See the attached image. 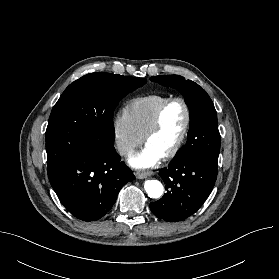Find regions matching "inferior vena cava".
Segmentation results:
<instances>
[{"mask_svg": "<svg viewBox=\"0 0 279 279\" xmlns=\"http://www.w3.org/2000/svg\"><path fill=\"white\" fill-rule=\"evenodd\" d=\"M117 150L121 155H130L134 152L128 144L121 141L117 142Z\"/></svg>", "mask_w": 279, "mask_h": 279, "instance_id": "inferior-vena-cava-1", "label": "inferior vena cava"}]
</instances>
